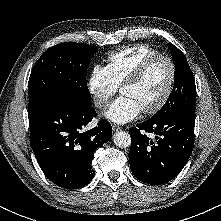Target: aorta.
I'll list each match as a JSON object with an SVG mask.
<instances>
[{
  "mask_svg": "<svg viewBox=\"0 0 221 221\" xmlns=\"http://www.w3.org/2000/svg\"><path fill=\"white\" fill-rule=\"evenodd\" d=\"M113 142L120 148H127L131 145L130 134L125 131H118L113 136Z\"/></svg>",
  "mask_w": 221,
  "mask_h": 221,
  "instance_id": "762f6f07",
  "label": "aorta"
}]
</instances>
